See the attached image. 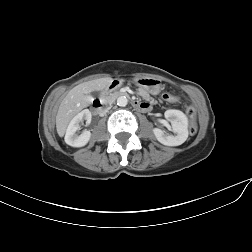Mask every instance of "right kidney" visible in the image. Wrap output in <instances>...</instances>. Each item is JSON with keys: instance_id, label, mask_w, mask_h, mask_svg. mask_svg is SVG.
Here are the masks:
<instances>
[{"instance_id": "obj_1", "label": "right kidney", "mask_w": 252, "mask_h": 252, "mask_svg": "<svg viewBox=\"0 0 252 252\" xmlns=\"http://www.w3.org/2000/svg\"><path fill=\"white\" fill-rule=\"evenodd\" d=\"M92 119L91 112L89 109H84L76 116L72 118L70 121L66 134H65V142L66 144L72 147H83L85 146L91 137V132L88 130H83L81 134H77L76 132L80 129V123L86 121V124H90Z\"/></svg>"}]
</instances>
